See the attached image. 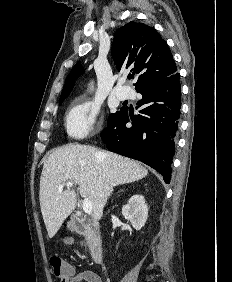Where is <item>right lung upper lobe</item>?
<instances>
[{"mask_svg": "<svg viewBox=\"0 0 232 282\" xmlns=\"http://www.w3.org/2000/svg\"><path fill=\"white\" fill-rule=\"evenodd\" d=\"M112 57L118 70L139 75L135 89L147 82L162 79L177 70L171 51L157 31L144 23L131 21L119 28L112 45ZM84 70L77 63L66 78L60 99L66 98L74 81Z\"/></svg>", "mask_w": 232, "mask_h": 282, "instance_id": "cb5924a9", "label": "right lung upper lobe"}]
</instances>
